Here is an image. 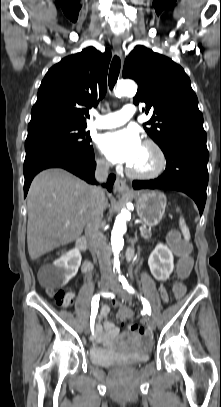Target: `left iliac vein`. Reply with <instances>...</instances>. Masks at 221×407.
Returning a JSON list of instances; mask_svg holds the SVG:
<instances>
[{"mask_svg":"<svg viewBox=\"0 0 221 407\" xmlns=\"http://www.w3.org/2000/svg\"><path fill=\"white\" fill-rule=\"evenodd\" d=\"M111 289L124 301L131 302L132 299H131L130 295L118 283H115V282L112 283ZM147 324H148V327L150 330L155 329V322L150 316L147 317Z\"/></svg>","mask_w":221,"mask_h":407,"instance_id":"1","label":"left iliac vein"}]
</instances>
